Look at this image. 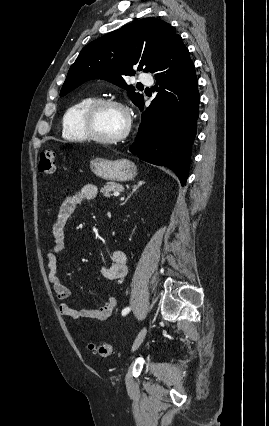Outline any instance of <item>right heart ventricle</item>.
Instances as JSON below:
<instances>
[{
  "label": "right heart ventricle",
  "mask_w": 269,
  "mask_h": 426,
  "mask_svg": "<svg viewBox=\"0 0 269 426\" xmlns=\"http://www.w3.org/2000/svg\"><path fill=\"white\" fill-rule=\"evenodd\" d=\"M95 100L93 96H85L65 111L62 119L63 137L73 141H86L88 139L83 126L82 115L87 106Z\"/></svg>",
  "instance_id": "1"
}]
</instances>
